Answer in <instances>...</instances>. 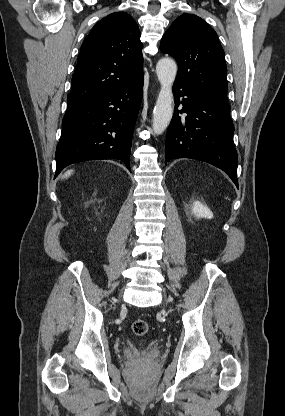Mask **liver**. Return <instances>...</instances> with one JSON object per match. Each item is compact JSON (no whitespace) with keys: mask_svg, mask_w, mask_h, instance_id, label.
Instances as JSON below:
<instances>
[{"mask_svg":"<svg viewBox=\"0 0 285 416\" xmlns=\"http://www.w3.org/2000/svg\"><path fill=\"white\" fill-rule=\"evenodd\" d=\"M73 170H68V172H65L64 176H62L63 180L64 178H69V176H71Z\"/></svg>","mask_w":285,"mask_h":416,"instance_id":"1","label":"liver"}]
</instances>
